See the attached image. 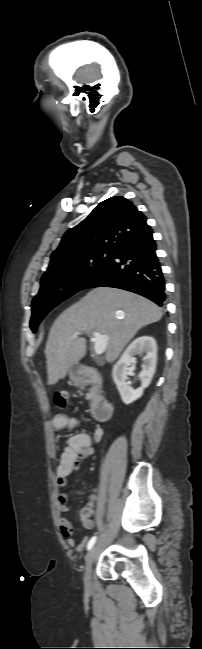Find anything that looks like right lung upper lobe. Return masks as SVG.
Masks as SVG:
<instances>
[{
    "instance_id": "right-lung-upper-lobe-1",
    "label": "right lung upper lobe",
    "mask_w": 202,
    "mask_h": 649,
    "mask_svg": "<svg viewBox=\"0 0 202 649\" xmlns=\"http://www.w3.org/2000/svg\"><path fill=\"white\" fill-rule=\"evenodd\" d=\"M146 220L124 197H111L99 203L85 220L64 234L43 276L79 255L93 251L114 252L123 242L150 229Z\"/></svg>"
}]
</instances>
